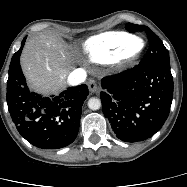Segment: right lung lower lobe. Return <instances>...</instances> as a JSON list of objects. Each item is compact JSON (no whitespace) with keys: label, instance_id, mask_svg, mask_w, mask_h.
<instances>
[{"label":"right lung lower lobe","instance_id":"98d812e1","mask_svg":"<svg viewBox=\"0 0 187 187\" xmlns=\"http://www.w3.org/2000/svg\"><path fill=\"white\" fill-rule=\"evenodd\" d=\"M25 40L26 37L10 63L8 110L19 133L32 145L42 149L65 147L77 137L88 88L69 87L50 97L29 91L19 62Z\"/></svg>","mask_w":187,"mask_h":187}]
</instances>
